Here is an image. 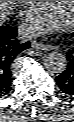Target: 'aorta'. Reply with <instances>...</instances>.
Here are the masks:
<instances>
[{"label": "aorta", "instance_id": "762f6f07", "mask_svg": "<svg viewBox=\"0 0 74 122\" xmlns=\"http://www.w3.org/2000/svg\"><path fill=\"white\" fill-rule=\"evenodd\" d=\"M44 65L49 72L60 74L66 70L68 61L64 54L53 51L45 56Z\"/></svg>", "mask_w": 74, "mask_h": 122}]
</instances>
